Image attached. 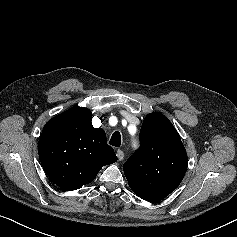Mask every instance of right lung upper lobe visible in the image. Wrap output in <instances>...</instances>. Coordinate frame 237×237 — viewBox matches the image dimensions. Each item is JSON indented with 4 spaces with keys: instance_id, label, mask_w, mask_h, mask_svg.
<instances>
[{
    "instance_id": "right-lung-upper-lobe-1",
    "label": "right lung upper lobe",
    "mask_w": 237,
    "mask_h": 237,
    "mask_svg": "<svg viewBox=\"0 0 237 237\" xmlns=\"http://www.w3.org/2000/svg\"><path fill=\"white\" fill-rule=\"evenodd\" d=\"M91 121L89 109L73 107L50 119L40 135V162L50 180L64 190L92 182L103 166L117 160L105 132Z\"/></svg>"
}]
</instances>
